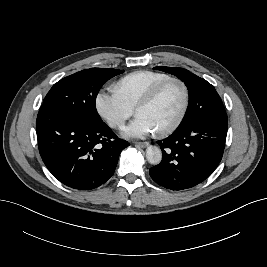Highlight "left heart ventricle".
Listing matches in <instances>:
<instances>
[{
  "instance_id": "1",
  "label": "left heart ventricle",
  "mask_w": 267,
  "mask_h": 267,
  "mask_svg": "<svg viewBox=\"0 0 267 267\" xmlns=\"http://www.w3.org/2000/svg\"><path fill=\"white\" fill-rule=\"evenodd\" d=\"M183 105V90L176 82L167 84L151 104L140 108L138 115L146 116L156 131L172 124Z\"/></svg>"
}]
</instances>
